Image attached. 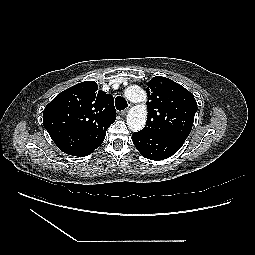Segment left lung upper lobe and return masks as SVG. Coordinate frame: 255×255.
<instances>
[{
  "label": "left lung upper lobe",
  "instance_id": "left-lung-upper-lobe-1",
  "mask_svg": "<svg viewBox=\"0 0 255 255\" xmlns=\"http://www.w3.org/2000/svg\"><path fill=\"white\" fill-rule=\"evenodd\" d=\"M148 117L143 134H168L188 137L198 110L191 92L162 76L153 77L146 89Z\"/></svg>",
  "mask_w": 255,
  "mask_h": 255
}]
</instances>
